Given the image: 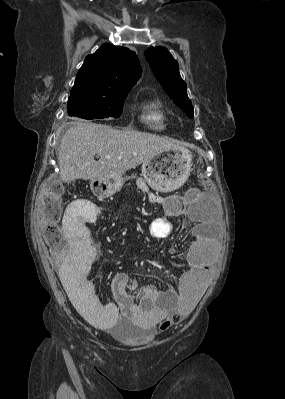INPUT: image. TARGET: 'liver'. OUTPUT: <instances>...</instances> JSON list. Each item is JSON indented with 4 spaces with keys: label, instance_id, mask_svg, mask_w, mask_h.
Wrapping results in <instances>:
<instances>
[{
    "label": "liver",
    "instance_id": "6515ba94",
    "mask_svg": "<svg viewBox=\"0 0 285 399\" xmlns=\"http://www.w3.org/2000/svg\"><path fill=\"white\" fill-rule=\"evenodd\" d=\"M174 148L179 147L171 139L158 135L79 120L66 131L60 143V179L92 181L107 175L122 176L157 153ZM95 155L100 157L99 161H95Z\"/></svg>",
    "mask_w": 285,
    "mask_h": 399
}]
</instances>
